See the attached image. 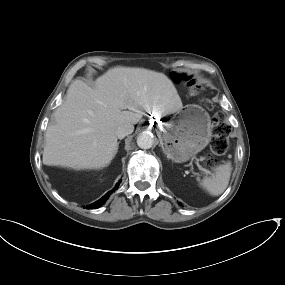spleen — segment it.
I'll return each mask as SVG.
<instances>
[{
	"label": "spleen",
	"instance_id": "1",
	"mask_svg": "<svg viewBox=\"0 0 285 285\" xmlns=\"http://www.w3.org/2000/svg\"><path fill=\"white\" fill-rule=\"evenodd\" d=\"M231 163L228 162L224 165L218 166L215 173L210 177H205L201 185L211 195H221L228 186L231 175Z\"/></svg>",
	"mask_w": 285,
	"mask_h": 285
}]
</instances>
